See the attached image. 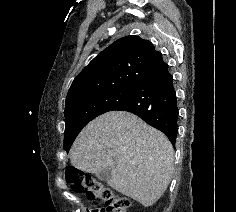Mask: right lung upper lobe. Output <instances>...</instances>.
Here are the masks:
<instances>
[{
    "label": "right lung upper lobe",
    "mask_w": 236,
    "mask_h": 212,
    "mask_svg": "<svg viewBox=\"0 0 236 212\" xmlns=\"http://www.w3.org/2000/svg\"><path fill=\"white\" fill-rule=\"evenodd\" d=\"M162 61V54L148 40L131 35L120 38L77 75L68 91L66 104L105 91L135 87Z\"/></svg>",
    "instance_id": "obj_1"
}]
</instances>
